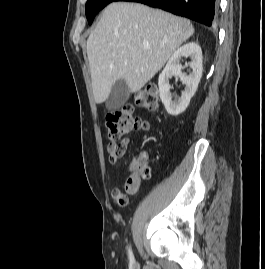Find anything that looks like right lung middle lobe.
I'll list each match as a JSON object with an SVG mask.
<instances>
[{"instance_id": "right-lung-middle-lobe-1", "label": "right lung middle lobe", "mask_w": 265, "mask_h": 269, "mask_svg": "<svg viewBox=\"0 0 265 269\" xmlns=\"http://www.w3.org/2000/svg\"><path fill=\"white\" fill-rule=\"evenodd\" d=\"M115 0H88L85 7V13L89 24L94 20L95 15L106 5Z\"/></svg>"}]
</instances>
